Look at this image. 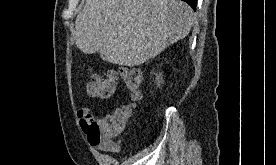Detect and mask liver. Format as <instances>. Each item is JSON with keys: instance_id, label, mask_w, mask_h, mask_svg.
<instances>
[{"instance_id": "1", "label": "liver", "mask_w": 276, "mask_h": 165, "mask_svg": "<svg viewBox=\"0 0 276 165\" xmlns=\"http://www.w3.org/2000/svg\"><path fill=\"white\" fill-rule=\"evenodd\" d=\"M193 22L192 8L180 0H86L74 41L85 54L134 67L184 39Z\"/></svg>"}]
</instances>
